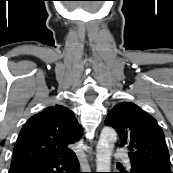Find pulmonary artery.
Segmentation results:
<instances>
[{
	"instance_id": "e3ab8cb5",
	"label": "pulmonary artery",
	"mask_w": 173,
	"mask_h": 173,
	"mask_svg": "<svg viewBox=\"0 0 173 173\" xmlns=\"http://www.w3.org/2000/svg\"><path fill=\"white\" fill-rule=\"evenodd\" d=\"M114 155H115L116 157L123 158V159L125 160V163H126L127 165H129V161H128V159H127V156H126V153H125L124 150H122V149H116Z\"/></svg>"
}]
</instances>
